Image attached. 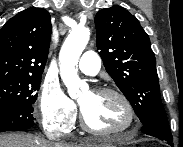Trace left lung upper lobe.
I'll list each match as a JSON object with an SVG mask.
<instances>
[{
	"label": "left lung upper lobe",
	"mask_w": 183,
	"mask_h": 147,
	"mask_svg": "<svg viewBox=\"0 0 183 147\" xmlns=\"http://www.w3.org/2000/svg\"><path fill=\"white\" fill-rule=\"evenodd\" d=\"M96 43L108 74L131 103L141 123L168 125L156 60L139 21L115 5L95 16Z\"/></svg>",
	"instance_id": "5c2ea615"
}]
</instances>
